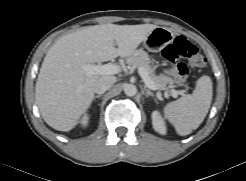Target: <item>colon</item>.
<instances>
[{
    "mask_svg": "<svg viewBox=\"0 0 246 181\" xmlns=\"http://www.w3.org/2000/svg\"><path fill=\"white\" fill-rule=\"evenodd\" d=\"M161 55L170 66L178 85L185 84L189 74L187 65L181 62V59H187L193 67H202L205 64L204 57L199 49L183 36L176 37L172 43L162 50Z\"/></svg>",
    "mask_w": 246,
    "mask_h": 181,
    "instance_id": "5ec220e1",
    "label": "colon"
}]
</instances>
